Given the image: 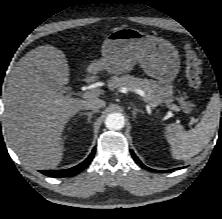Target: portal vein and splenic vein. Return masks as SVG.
<instances>
[{
    "instance_id": "obj_1",
    "label": "portal vein and splenic vein",
    "mask_w": 222,
    "mask_h": 219,
    "mask_svg": "<svg viewBox=\"0 0 222 219\" xmlns=\"http://www.w3.org/2000/svg\"><path fill=\"white\" fill-rule=\"evenodd\" d=\"M132 91L135 92L136 94L141 95V96L145 95L144 91H142L141 89H132ZM97 95H98V91L97 90H92V91L84 92L82 97L83 98L96 97ZM165 107H167L170 110L176 111V112H180L181 111L180 107L175 105V104L165 103ZM190 119H191L192 123H197L198 122V119L194 118L193 116H190Z\"/></svg>"
}]
</instances>
